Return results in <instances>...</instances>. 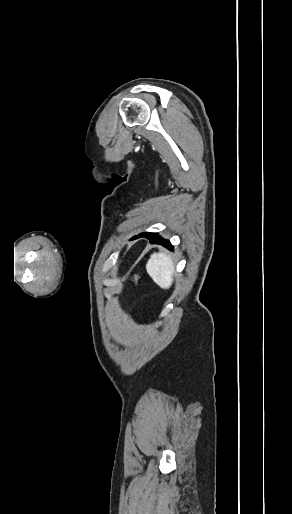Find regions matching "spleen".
<instances>
[{"mask_svg":"<svg viewBox=\"0 0 292 514\" xmlns=\"http://www.w3.org/2000/svg\"><path fill=\"white\" fill-rule=\"evenodd\" d=\"M146 270L150 278H152L155 284H158L160 288H163V290L171 288L173 284L174 264L170 256L162 254V252L151 254L146 264Z\"/></svg>","mask_w":292,"mask_h":514,"instance_id":"spleen-1","label":"spleen"}]
</instances>
